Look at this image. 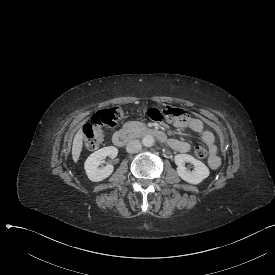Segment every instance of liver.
<instances>
[{
	"label": "liver",
	"mask_w": 275,
	"mask_h": 275,
	"mask_svg": "<svg viewBox=\"0 0 275 275\" xmlns=\"http://www.w3.org/2000/svg\"><path fill=\"white\" fill-rule=\"evenodd\" d=\"M83 148V134L82 128H80L74 136L73 144H72V159L74 163H78L80 154Z\"/></svg>",
	"instance_id": "liver-1"
}]
</instances>
